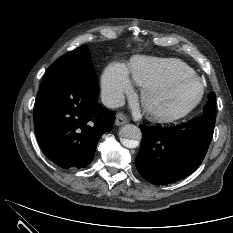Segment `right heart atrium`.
<instances>
[{
  "label": "right heart atrium",
  "instance_id": "d8ad5b80",
  "mask_svg": "<svg viewBox=\"0 0 233 233\" xmlns=\"http://www.w3.org/2000/svg\"><path fill=\"white\" fill-rule=\"evenodd\" d=\"M101 95L105 103L109 106L119 105L126 95L133 92L126 67L118 62L106 67L100 79Z\"/></svg>",
  "mask_w": 233,
  "mask_h": 233
}]
</instances>
